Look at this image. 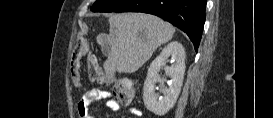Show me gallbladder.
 Returning a JSON list of instances; mask_svg holds the SVG:
<instances>
[{
  "label": "gallbladder",
  "instance_id": "bac80fb5",
  "mask_svg": "<svg viewBox=\"0 0 273 118\" xmlns=\"http://www.w3.org/2000/svg\"><path fill=\"white\" fill-rule=\"evenodd\" d=\"M102 51L103 53L108 56L111 52V47L108 43H105L103 46H102Z\"/></svg>",
  "mask_w": 273,
  "mask_h": 118
}]
</instances>
